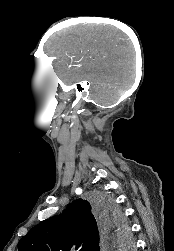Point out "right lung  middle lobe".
Listing matches in <instances>:
<instances>
[{
    "mask_svg": "<svg viewBox=\"0 0 174 251\" xmlns=\"http://www.w3.org/2000/svg\"><path fill=\"white\" fill-rule=\"evenodd\" d=\"M92 204L100 216L103 227L112 236V246L122 250H131V241H123L128 236V226L121 210L114 204L111 197L106 193L98 192L94 195Z\"/></svg>",
    "mask_w": 174,
    "mask_h": 251,
    "instance_id": "1",
    "label": "right lung middle lobe"
}]
</instances>
